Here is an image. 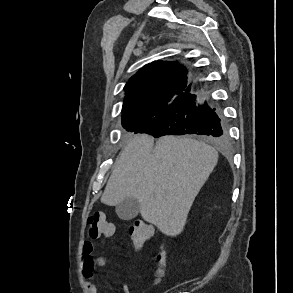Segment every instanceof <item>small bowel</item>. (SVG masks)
I'll return each instance as SVG.
<instances>
[{
	"label": "small bowel",
	"instance_id": "small-bowel-1",
	"mask_svg": "<svg viewBox=\"0 0 293 293\" xmlns=\"http://www.w3.org/2000/svg\"><path fill=\"white\" fill-rule=\"evenodd\" d=\"M83 254L81 257L82 271L85 276V288L88 293H97V286L92 281L95 268H102L106 264V259L101 255H93L94 245L91 241L83 242ZM122 293H130L128 286L121 287Z\"/></svg>",
	"mask_w": 293,
	"mask_h": 293
}]
</instances>
